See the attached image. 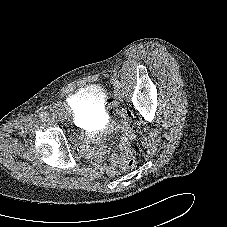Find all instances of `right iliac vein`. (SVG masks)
<instances>
[{
  "label": "right iliac vein",
  "instance_id": "right-iliac-vein-1",
  "mask_svg": "<svg viewBox=\"0 0 227 227\" xmlns=\"http://www.w3.org/2000/svg\"><path fill=\"white\" fill-rule=\"evenodd\" d=\"M56 118H57V117H56L55 114H51V115H50V119H51V120H56Z\"/></svg>",
  "mask_w": 227,
  "mask_h": 227
}]
</instances>
